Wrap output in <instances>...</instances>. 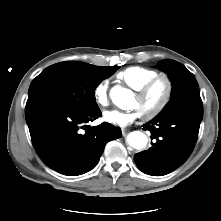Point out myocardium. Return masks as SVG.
I'll return each instance as SVG.
<instances>
[{
	"mask_svg": "<svg viewBox=\"0 0 221 221\" xmlns=\"http://www.w3.org/2000/svg\"><path fill=\"white\" fill-rule=\"evenodd\" d=\"M160 82H163L165 84V93H164L163 99L160 102V104L156 106L150 112L141 113L142 118L145 120H152L156 118L166 109L173 95V89H174L173 80L171 79L170 76L166 74H161L152 78L151 80L146 82L144 85H142L139 89L135 90V95L139 99H143Z\"/></svg>",
	"mask_w": 221,
	"mask_h": 221,
	"instance_id": "1",
	"label": "myocardium"
}]
</instances>
